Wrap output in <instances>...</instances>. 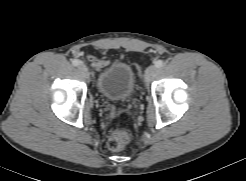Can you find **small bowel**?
Instances as JSON below:
<instances>
[{"label":"small bowel","instance_id":"1","mask_svg":"<svg viewBox=\"0 0 246 181\" xmlns=\"http://www.w3.org/2000/svg\"><path fill=\"white\" fill-rule=\"evenodd\" d=\"M89 60L91 61L92 65L97 69L101 70L107 65V61L103 59H98L95 57H90Z\"/></svg>","mask_w":246,"mask_h":181}]
</instances>
